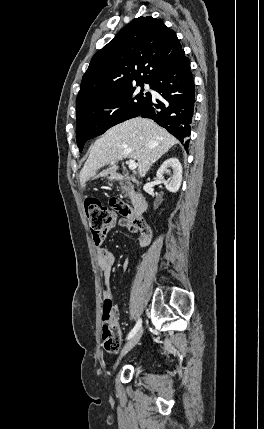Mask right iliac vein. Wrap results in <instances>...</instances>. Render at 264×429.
<instances>
[{
  "label": "right iliac vein",
  "mask_w": 264,
  "mask_h": 429,
  "mask_svg": "<svg viewBox=\"0 0 264 429\" xmlns=\"http://www.w3.org/2000/svg\"><path fill=\"white\" fill-rule=\"evenodd\" d=\"M143 334V329L139 328V330L134 334V336L126 343V345L123 347L120 356L117 360V362L115 363L114 369L117 367V365L119 364V361L121 360V358L128 353L140 340L141 336Z\"/></svg>",
  "instance_id": "obj_1"
}]
</instances>
